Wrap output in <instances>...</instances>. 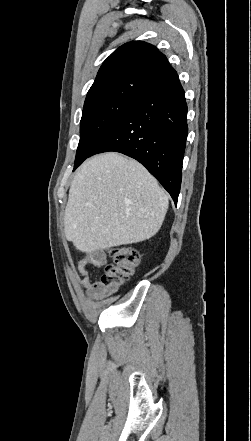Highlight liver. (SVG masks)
<instances>
[{
    "label": "liver",
    "mask_w": 251,
    "mask_h": 441,
    "mask_svg": "<svg viewBox=\"0 0 251 441\" xmlns=\"http://www.w3.org/2000/svg\"><path fill=\"white\" fill-rule=\"evenodd\" d=\"M168 209V195L137 161L116 152L83 163L69 189L64 231L77 250L132 244L153 237Z\"/></svg>",
    "instance_id": "liver-1"
}]
</instances>
